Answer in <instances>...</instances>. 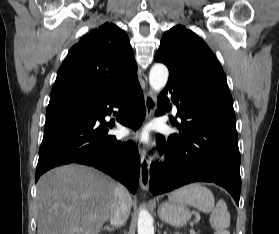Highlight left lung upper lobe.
I'll return each instance as SVG.
<instances>
[{
    "instance_id": "left-lung-upper-lobe-1",
    "label": "left lung upper lobe",
    "mask_w": 279,
    "mask_h": 234,
    "mask_svg": "<svg viewBox=\"0 0 279 234\" xmlns=\"http://www.w3.org/2000/svg\"><path fill=\"white\" fill-rule=\"evenodd\" d=\"M155 60L164 63L183 84L232 99L225 73L207 44L178 25L165 32Z\"/></svg>"
}]
</instances>
